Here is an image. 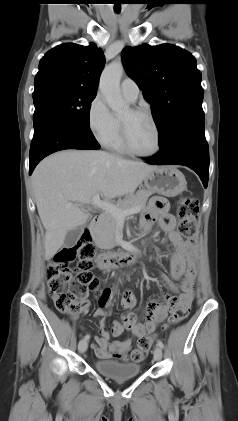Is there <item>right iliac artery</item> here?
Segmentation results:
<instances>
[{"instance_id": "right-iliac-artery-1", "label": "right iliac artery", "mask_w": 238, "mask_h": 421, "mask_svg": "<svg viewBox=\"0 0 238 421\" xmlns=\"http://www.w3.org/2000/svg\"><path fill=\"white\" fill-rule=\"evenodd\" d=\"M90 338V335H86L85 337H84V339H86V340H88Z\"/></svg>"}]
</instances>
